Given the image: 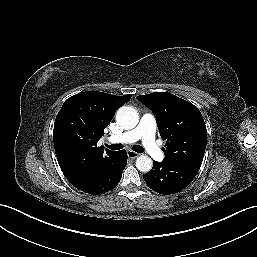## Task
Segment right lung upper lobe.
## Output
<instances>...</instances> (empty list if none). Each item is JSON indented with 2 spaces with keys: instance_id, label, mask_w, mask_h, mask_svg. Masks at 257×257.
Instances as JSON below:
<instances>
[{
  "instance_id": "cb5924a9",
  "label": "right lung upper lobe",
  "mask_w": 257,
  "mask_h": 257,
  "mask_svg": "<svg viewBox=\"0 0 257 257\" xmlns=\"http://www.w3.org/2000/svg\"><path fill=\"white\" fill-rule=\"evenodd\" d=\"M131 96L87 91L64 102L55 119L53 142L58 163L66 177L83 175L116 152L104 151L97 142L116 110Z\"/></svg>"
}]
</instances>
